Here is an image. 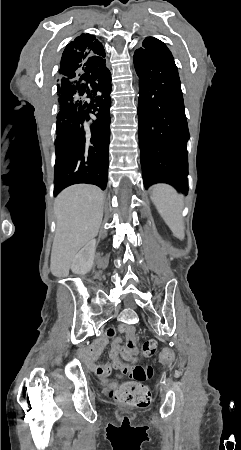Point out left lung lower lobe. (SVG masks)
<instances>
[{"mask_svg": "<svg viewBox=\"0 0 241 450\" xmlns=\"http://www.w3.org/2000/svg\"><path fill=\"white\" fill-rule=\"evenodd\" d=\"M140 78L139 146L145 188L170 184L184 194L187 186L185 115L177 66L169 49H137L133 58Z\"/></svg>", "mask_w": 241, "mask_h": 450, "instance_id": "0a47b994", "label": "left lung lower lobe"}]
</instances>
